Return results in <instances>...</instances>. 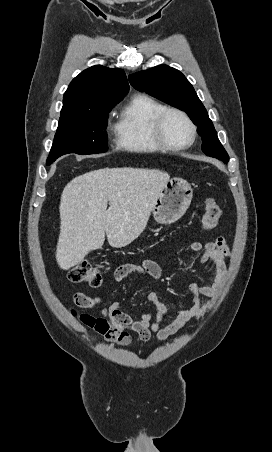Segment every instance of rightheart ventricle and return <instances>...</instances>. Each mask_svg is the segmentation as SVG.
Wrapping results in <instances>:
<instances>
[{
    "instance_id": "e07e8e85",
    "label": "right heart ventricle",
    "mask_w": 272,
    "mask_h": 452,
    "mask_svg": "<svg viewBox=\"0 0 272 452\" xmlns=\"http://www.w3.org/2000/svg\"><path fill=\"white\" fill-rule=\"evenodd\" d=\"M164 106L154 98L140 94L124 108L116 124L118 145L128 151L152 153L164 150L156 141L152 123Z\"/></svg>"
}]
</instances>
